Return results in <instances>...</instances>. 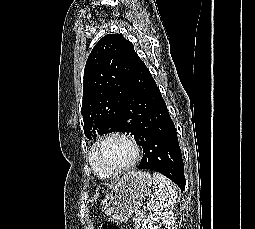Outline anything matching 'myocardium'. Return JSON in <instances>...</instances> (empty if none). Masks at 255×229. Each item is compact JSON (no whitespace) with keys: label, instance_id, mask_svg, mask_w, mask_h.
<instances>
[{"label":"myocardium","instance_id":"f54148a6","mask_svg":"<svg viewBox=\"0 0 255 229\" xmlns=\"http://www.w3.org/2000/svg\"><path fill=\"white\" fill-rule=\"evenodd\" d=\"M111 138H120V139L126 141L131 146V148L133 150L132 160L125 166H122V167L116 168V169H109V168L105 167L97 159V150H98L99 146L103 142H105L106 140L111 139ZM90 153H91L92 162H94L98 166H100L109 176L113 177V176H118V175L132 169L136 165V163L139 159V156H140V149H139L137 142L127 133L120 132V131H111V132H108V133L102 135L93 143V145L90 149Z\"/></svg>","mask_w":255,"mask_h":229}]
</instances>
